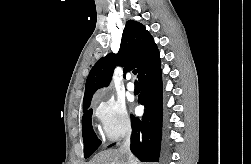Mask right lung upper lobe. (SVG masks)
Segmentation results:
<instances>
[{"label": "right lung upper lobe", "mask_w": 251, "mask_h": 164, "mask_svg": "<svg viewBox=\"0 0 251 164\" xmlns=\"http://www.w3.org/2000/svg\"><path fill=\"white\" fill-rule=\"evenodd\" d=\"M159 64V51L153 37L144 25L128 20L118 53H110L101 58L90 71L85 86L83 107L90 105L92 96L98 88L110 83L116 65L124 67V73L137 68L140 79L145 72Z\"/></svg>", "instance_id": "1"}]
</instances>
